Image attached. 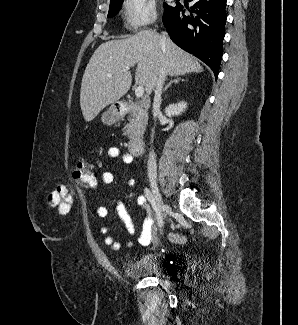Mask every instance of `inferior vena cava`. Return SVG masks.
Listing matches in <instances>:
<instances>
[{"mask_svg":"<svg viewBox=\"0 0 298 325\" xmlns=\"http://www.w3.org/2000/svg\"><path fill=\"white\" fill-rule=\"evenodd\" d=\"M166 34L167 32H163L162 36H166ZM162 42H164V40H162ZM166 76H167V68H166L165 60H163L162 66L159 70V76L156 82V88H155L154 98H153L152 112L154 118H156V116H158L160 112V104L162 100L161 94H162L163 84L166 80ZM147 175L150 181H153V179H157L156 154L154 150H151V152H149V156L147 160Z\"/></svg>","mask_w":298,"mask_h":325,"instance_id":"602c4592","label":"inferior vena cava"}]
</instances>
